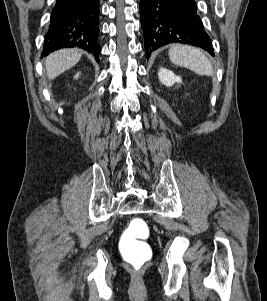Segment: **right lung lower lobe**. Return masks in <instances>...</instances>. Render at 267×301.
<instances>
[{
	"label": "right lung lower lobe",
	"mask_w": 267,
	"mask_h": 301,
	"mask_svg": "<svg viewBox=\"0 0 267 301\" xmlns=\"http://www.w3.org/2000/svg\"><path fill=\"white\" fill-rule=\"evenodd\" d=\"M99 0H57L42 57L60 48L79 47L99 59Z\"/></svg>",
	"instance_id": "right-lung-lower-lobe-1"
}]
</instances>
